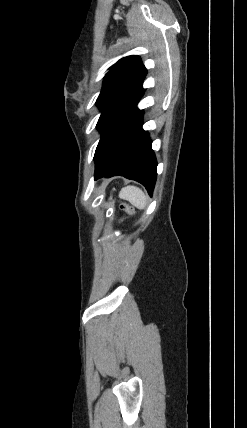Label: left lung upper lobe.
<instances>
[{
    "instance_id": "left-lung-upper-lobe-1",
    "label": "left lung upper lobe",
    "mask_w": 247,
    "mask_h": 428,
    "mask_svg": "<svg viewBox=\"0 0 247 428\" xmlns=\"http://www.w3.org/2000/svg\"><path fill=\"white\" fill-rule=\"evenodd\" d=\"M147 74L139 56L120 59L105 75L96 105L101 111L97 123L99 130L121 107L142 94V82Z\"/></svg>"
}]
</instances>
